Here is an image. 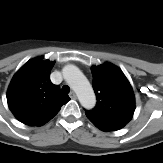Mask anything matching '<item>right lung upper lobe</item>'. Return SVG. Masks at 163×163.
<instances>
[{
	"label": "right lung upper lobe",
	"mask_w": 163,
	"mask_h": 163,
	"mask_svg": "<svg viewBox=\"0 0 163 163\" xmlns=\"http://www.w3.org/2000/svg\"><path fill=\"white\" fill-rule=\"evenodd\" d=\"M55 62L36 57L14 75L7 90L8 106L14 116L30 126H41L52 119L70 98L50 81Z\"/></svg>",
	"instance_id": "right-lung-upper-lobe-1"
}]
</instances>
